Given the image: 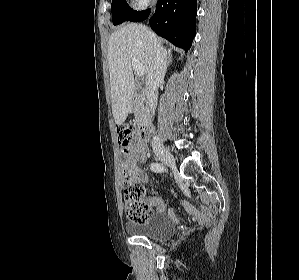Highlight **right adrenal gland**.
Instances as JSON below:
<instances>
[{
    "label": "right adrenal gland",
    "instance_id": "right-adrenal-gland-1",
    "mask_svg": "<svg viewBox=\"0 0 299 280\" xmlns=\"http://www.w3.org/2000/svg\"><path fill=\"white\" fill-rule=\"evenodd\" d=\"M170 63H172V54H171V51L168 50V52H167V67L170 65Z\"/></svg>",
    "mask_w": 299,
    "mask_h": 280
}]
</instances>
